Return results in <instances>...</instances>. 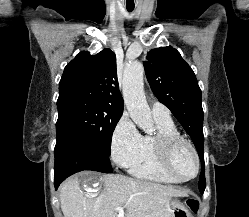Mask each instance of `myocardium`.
Masks as SVG:
<instances>
[{"mask_svg": "<svg viewBox=\"0 0 249 217\" xmlns=\"http://www.w3.org/2000/svg\"><path fill=\"white\" fill-rule=\"evenodd\" d=\"M156 146L158 148L161 162H162L164 169L173 178H175L176 180L180 182H186V181H190L194 179L198 175L199 170H200V159H199V155H198L196 148L190 141H188L187 139H185L184 137L180 135L160 134L158 135L156 139ZM182 146L187 147L191 151L194 157V160H195V171L193 175L189 177L180 176L176 172L174 165H173L174 155L176 151L178 150V148Z\"/></svg>", "mask_w": 249, "mask_h": 217, "instance_id": "1", "label": "myocardium"}]
</instances>
